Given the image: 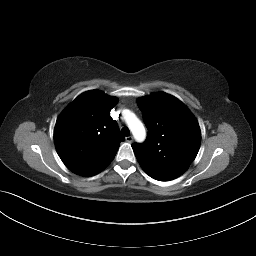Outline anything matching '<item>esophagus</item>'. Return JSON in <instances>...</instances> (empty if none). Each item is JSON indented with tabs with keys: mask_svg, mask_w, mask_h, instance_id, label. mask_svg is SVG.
<instances>
[{
	"mask_svg": "<svg viewBox=\"0 0 256 256\" xmlns=\"http://www.w3.org/2000/svg\"><path fill=\"white\" fill-rule=\"evenodd\" d=\"M125 139H126V141L128 143H132V141H133V137L132 136H127Z\"/></svg>",
	"mask_w": 256,
	"mask_h": 256,
	"instance_id": "obj_1",
	"label": "esophagus"
}]
</instances>
